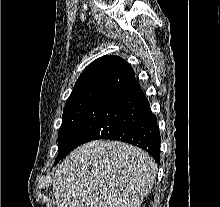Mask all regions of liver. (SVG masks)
<instances>
[{
	"instance_id": "obj_1",
	"label": "liver",
	"mask_w": 220,
	"mask_h": 207,
	"mask_svg": "<svg viewBox=\"0 0 220 207\" xmlns=\"http://www.w3.org/2000/svg\"><path fill=\"white\" fill-rule=\"evenodd\" d=\"M157 164L144 150L119 141L95 140L68 155L54 174L57 207H140Z\"/></svg>"
}]
</instances>
